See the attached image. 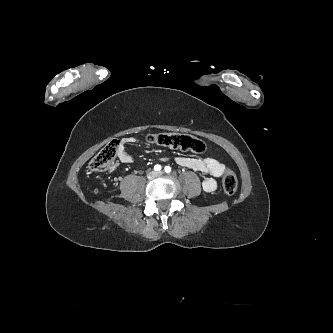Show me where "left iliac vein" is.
Listing matches in <instances>:
<instances>
[{"mask_svg": "<svg viewBox=\"0 0 333 333\" xmlns=\"http://www.w3.org/2000/svg\"><path fill=\"white\" fill-rule=\"evenodd\" d=\"M162 174H163L162 172H159V173H156V176H160Z\"/></svg>", "mask_w": 333, "mask_h": 333, "instance_id": "obj_1", "label": "left iliac vein"}]
</instances>
